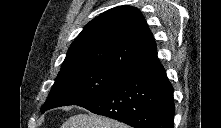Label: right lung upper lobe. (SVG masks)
Here are the masks:
<instances>
[{"mask_svg":"<svg viewBox=\"0 0 221 128\" xmlns=\"http://www.w3.org/2000/svg\"><path fill=\"white\" fill-rule=\"evenodd\" d=\"M156 58V43L141 12L118 6L84 27L71 44L61 71L95 67L127 75Z\"/></svg>","mask_w":221,"mask_h":128,"instance_id":"obj_1","label":"right lung upper lobe"}]
</instances>
